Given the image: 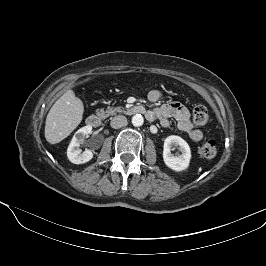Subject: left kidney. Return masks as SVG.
Instances as JSON below:
<instances>
[{
	"label": "left kidney",
	"instance_id": "left-kidney-1",
	"mask_svg": "<svg viewBox=\"0 0 266 266\" xmlns=\"http://www.w3.org/2000/svg\"><path fill=\"white\" fill-rule=\"evenodd\" d=\"M172 145L178 146L180 155L171 153ZM191 159V150L188 143L179 136H168L164 141L163 160L166 166L174 171H183L188 168Z\"/></svg>",
	"mask_w": 266,
	"mask_h": 266
}]
</instances>
